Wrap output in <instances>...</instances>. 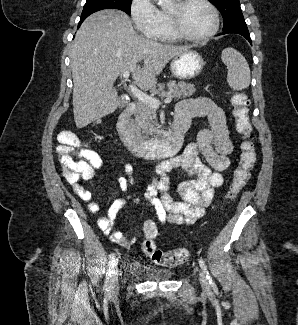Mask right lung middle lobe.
<instances>
[{
    "mask_svg": "<svg viewBox=\"0 0 298 325\" xmlns=\"http://www.w3.org/2000/svg\"><path fill=\"white\" fill-rule=\"evenodd\" d=\"M132 0H86L80 20H85L90 14L102 9H119L130 15Z\"/></svg>",
    "mask_w": 298,
    "mask_h": 325,
    "instance_id": "obj_1",
    "label": "right lung middle lobe"
}]
</instances>
